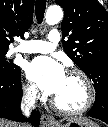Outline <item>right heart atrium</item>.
<instances>
[{
	"mask_svg": "<svg viewBox=\"0 0 108 127\" xmlns=\"http://www.w3.org/2000/svg\"><path fill=\"white\" fill-rule=\"evenodd\" d=\"M24 96L28 100H36L39 97V92L32 83H25L23 87Z\"/></svg>",
	"mask_w": 108,
	"mask_h": 127,
	"instance_id": "d8ad5b80",
	"label": "right heart atrium"
}]
</instances>
